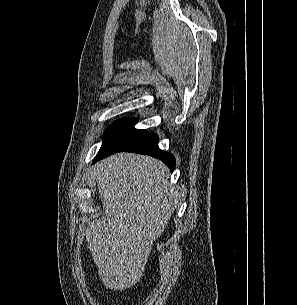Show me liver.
I'll return each instance as SVG.
<instances>
[{"label": "liver", "instance_id": "1", "mask_svg": "<svg viewBox=\"0 0 297 305\" xmlns=\"http://www.w3.org/2000/svg\"><path fill=\"white\" fill-rule=\"evenodd\" d=\"M95 175L104 213L88 224V248L103 284L126 290L140 281L178 193L167 166L150 156L114 154L96 165Z\"/></svg>", "mask_w": 297, "mask_h": 305}]
</instances>
